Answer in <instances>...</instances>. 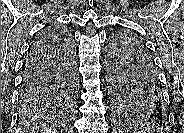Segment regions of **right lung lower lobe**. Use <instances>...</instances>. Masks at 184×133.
<instances>
[{
  "label": "right lung lower lobe",
  "instance_id": "1",
  "mask_svg": "<svg viewBox=\"0 0 184 133\" xmlns=\"http://www.w3.org/2000/svg\"><path fill=\"white\" fill-rule=\"evenodd\" d=\"M59 37L47 28L32 43L23 65L19 103H40L56 94L65 73L67 49L65 40Z\"/></svg>",
  "mask_w": 184,
  "mask_h": 133
}]
</instances>
